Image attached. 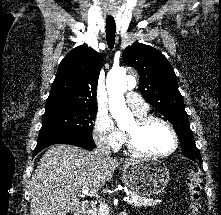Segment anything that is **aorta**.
<instances>
[{
    "instance_id": "aorta-1",
    "label": "aorta",
    "mask_w": 221,
    "mask_h": 215,
    "mask_svg": "<svg viewBox=\"0 0 221 215\" xmlns=\"http://www.w3.org/2000/svg\"><path fill=\"white\" fill-rule=\"evenodd\" d=\"M135 84L134 80L130 84L127 83V73L123 68L113 70L107 76L106 88L109 97V111L119 125L126 120L133 119V115L126 105L124 93Z\"/></svg>"
}]
</instances>
